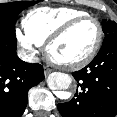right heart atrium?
<instances>
[{
	"mask_svg": "<svg viewBox=\"0 0 117 117\" xmlns=\"http://www.w3.org/2000/svg\"><path fill=\"white\" fill-rule=\"evenodd\" d=\"M16 38L28 55L33 56L36 54L38 44H36L25 33H23L20 28L16 29Z\"/></svg>",
	"mask_w": 117,
	"mask_h": 117,
	"instance_id": "d8ad5b80",
	"label": "right heart atrium"
}]
</instances>
